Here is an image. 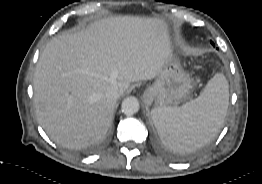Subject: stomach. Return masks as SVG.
<instances>
[{
	"mask_svg": "<svg viewBox=\"0 0 262 184\" xmlns=\"http://www.w3.org/2000/svg\"><path fill=\"white\" fill-rule=\"evenodd\" d=\"M194 82L184 71L181 64L171 59L157 75L155 82L149 86L144 95L155 101L158 107L180 104L190 98Z\"/></svg>",
	"mask_w": 262,
	"mask_h": 184,
	"instance_id": "obj_1",
	"label": "stomach"
}]
</instances>
